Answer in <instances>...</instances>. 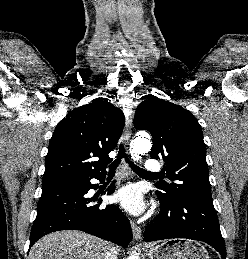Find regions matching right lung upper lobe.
<instances>
[{"instance_id":"right-lung-upper-lobe-1","label":"right lung upper lobe","mask_w":248,"mask_h":259,"mask_svg":"<svg viewBox=\"0 0 248 259\" xmlns=\"http://www.w3.org/2000/svg\"><path fill=\"white\" fill-rule=\"evenodd\" d=\"M125 124L124 114L108 101H94L67 114L49 143L42 186L105 173ZM98 157V161H93Z\"/></svg>"}]
</instances>
